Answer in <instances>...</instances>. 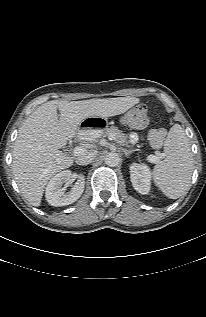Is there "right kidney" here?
<instances>
[{
  "mask_svg": "<svg viewBox=\"0 0 206 317\" xmlns=\"http://www.w3.org/2000/svg\"><path fill=\"white\" fill-rule=\"evenodd\" d=\"M72 178L71 171L65 170L56 174L46 187L45 197L47 202L55 207L70 205L77 201L85 187L84 176L79 175V179L69 192L62 188V184H69Z\"/></svg>",
  "mask_w": 206,
  "mask_h": 317,
  "instance_id": "1",
  "label": "right kidney"
}]
</instances>
